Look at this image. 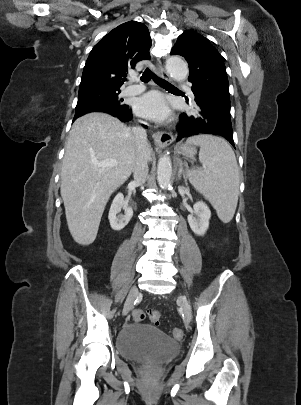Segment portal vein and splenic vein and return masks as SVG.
<instances>
[{"label": "portal vein and splenic vein", "mask_w": 301, "mask_h": 405, "mask_svg": "<svg viewBox=\"0 0 301 405\" xmlns=\"http://www.w3.org/2000/svg\"><path fill=\"white\" fill-rule=\"evenodd\" d=\"M116 164L117 162L115 160H104L98 163L100 167H114Z\"/></svg>", "instance_id": "obj_1"}]
</instances>
